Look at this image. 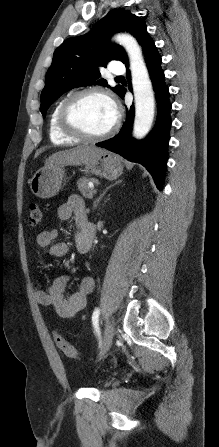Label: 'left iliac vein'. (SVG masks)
Wrapping results in <instances>:
<instances>
[{
  "label": "left iliac vein",
  "mask_w": 219,
  "mask_h": 447,
  "mask_svg": "<svg viewBox=\"0 0 219 447\" xmlns=\"http://www.w3.org/2000/svg\"><path fill=\"white\" fill-rule=\"evenodd\" d=\"M113 337H114V324L111 320H107L104 335H103L102 357L110 349L112 342H113Z\"/></svg>",
  "instance_id": "1"
}]
</instances>
